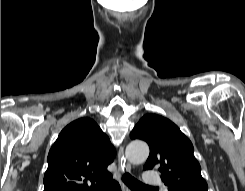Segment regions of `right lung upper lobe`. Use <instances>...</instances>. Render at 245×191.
<instances>
[{
    "label": "right lung upper lobe",
    "instance_id": "cb5924a9",
    "mask_svg": "<svg viewBox=\"0 0 245 191\" xmlns=\"http://www.w3.org/2000/svg\"><path fill=\"white\" fill-rule=\"evenodd\" d=\"M115 155L94 120L84 117L71 122L49 151L44 191H99L113 182L107 167Z\"/></svg>",
    "mask_w": 245,
    "mask_h": 191
}]
</instances>
